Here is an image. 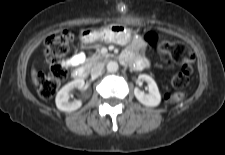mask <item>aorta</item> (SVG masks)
I'll list each match as a JSON object with an SVG mask.
<instances>
[{
  "instance_id": "obj_1",
  "label": "aorta",
  "mask_w": 225,
  "mask_h": 155,
  "mask_svg": "<svg viewBox=\"0 0 225 155\" xmlns=\"http://www.w3.org/2000/svg\"><path fill=\"white\" fill-rule=\"evenodd\" d=\"M119 65L116 61H110L107 64V71L110 73H114L118 70Z\"/></svg>"
}]
</instances>
